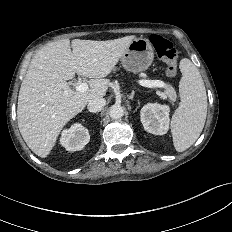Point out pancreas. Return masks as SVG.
Returning <instances> with one entry per match:
<instances>
[{
  "label": "pancreas",
  "mask_w": 232,
  "mask_h": 232,
  "mask_svg": "<svg viewBox=\"0 0 232 232\" xmlns=\"http://www.w3.org/2000/svg\"><path fill=\"white\" fill-rule=\"evenodd\" d=\"M165 94L169 98L170 102H174L177 98L175 89L168 84H165Z\"/></svg>",
  "instance_id": "1"
}]
</instances>
